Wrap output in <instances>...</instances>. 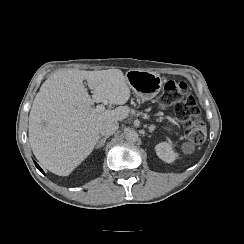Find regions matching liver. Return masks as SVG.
I'll return each instance as SVG.
<instances>
[{
    "label": "liver",
    "mask_w": 244,
    "mask_h": 244,
    "mask_svg": "<svg viewBox=\"0 0 244 244\" xmlns=\"http://www.w3.org/2000/svg\"><path fill=\"white\" fill-rule=\"evenodd\" d=\"M129 98L130 88L119 69L54 73L41 85L29 114V142L36 159L50 172L68 176L94 149L99 125L122 121L130 112L128 106L97 112L92 105H123Z\"/></svg>",
    "instance_id": "1"
}]
</instances>
